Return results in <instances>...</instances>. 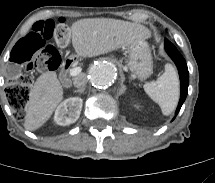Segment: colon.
<instances>
[{"label": "colon", "instance_id": "colon-1", "mask_svg": "<svg viewBox=\"0 0 215 183\" xmlns=\"http://www.w3.org/2000/svg\"><path fill=\"white\" fill-rule=\"evenodd\" d=\"M67 27L68 22L62 16L41 20L12 49L7 67L6 97L18 115L23 114L30 96L31 78L26 74V68L27 71L57 69L61 56L52 42H64L68 36Z\"/></svg>", "mask_w": 215, "mask_h": 183}]
</instances>
